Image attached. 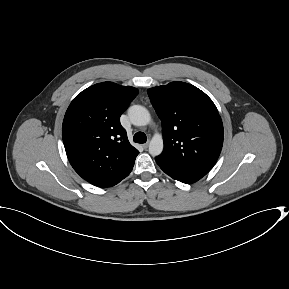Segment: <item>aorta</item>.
<instances>
[{
	"label": "aorta",
	"mask_w": 289,
	"mask_h": 289,
	"mask_svg": "<svg viewBox=\"0 0 289 289\" xmlns=\"http://www.w3.org/2000/svg\"><path fill=\"white\" fill-rule=\"evenodd\" d=\"M128 116L133 125L145 126L150 120V113L141 105H133L128 109ZM163 151V138L160 134H155L149 143V153L157 156Z\"/></svg>",
	"instance_id": "obj_1"
}]
</instances>
